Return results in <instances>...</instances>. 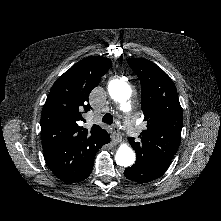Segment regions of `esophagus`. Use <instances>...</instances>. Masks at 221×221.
<instances>
[{
  "label": "esophagus",
  "mask_w": 221,
  "mask_h": 221,
  "mask_svg": "<svg viewBox=\"0 0 221 221\" xmlns=\"http://www.w3.org/2000/svg\"><path fill=\"white\" fill-rule=\"evenodd\" d=\"M111 132H112V144L116 145L119 142H121V134H120L119 126L114 125L111 128Z\"/></svg>",
  "instance_id": "obj_1"
}]
</instances>
